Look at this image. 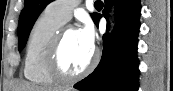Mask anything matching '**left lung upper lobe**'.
<instances>
[{
	"label": "left lung upper lobe",
	"mask_w": 173,
	"mask_h": 91,
	"mask_svg": "<svg viewBox=\"0 0 173 91\" xmlns=\"http://www.w3.org/2000/svg\"><path fill=\"white\" fill-rule=\"evenodd\" d=\"M52 0H25V6L20 14L18 26V49L22 50L37 17ZM97 13L91 14L93 20Z\"/></svg>",
	"instance_id": "5c2ea615"
}]
</instances>
